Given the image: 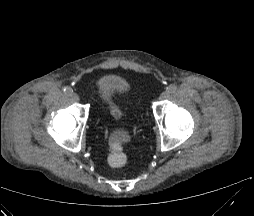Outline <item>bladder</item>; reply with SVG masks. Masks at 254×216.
Wrapping results in <instances>:
<instances>
[{
    "label": "bladder",
    "mask_w": 254,
    "mask_h": 216,
    "mask_svg": "<svg viewBox=\"0 0 254 216\" xmlns=\"http://www.w3.org/2000/svg\"><path fill=\"white\" fill-rule=\"evenodd\" d=\"M126 88V82L117 75H106L97 84L106 113L117 122L123 121L127 115V107L123 100Z\"/></svg>",
    "instance_id": "obj_1"
}]
</instances>
